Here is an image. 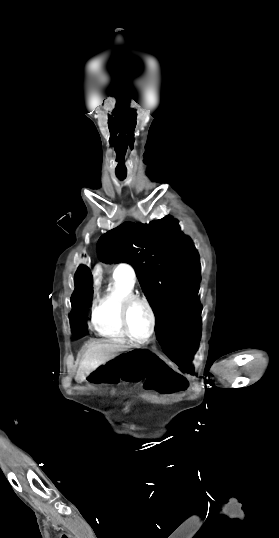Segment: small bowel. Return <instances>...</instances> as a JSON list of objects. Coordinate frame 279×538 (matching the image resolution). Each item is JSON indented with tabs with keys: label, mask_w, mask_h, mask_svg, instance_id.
Returning a JSON list of instances; mask_svg holds the SVG:
<instances>
[{
	"label": "small bowel",
	"mask_w": 279,
	"mask_h": 538,
	"mask_svg": "<svg viewBox=\"0 0 279 538\" xmlns=\"http://www.w3.org/2000/svg\"><path fill=\"white\" fill-rule=\"evenodd\" d=\"M145 390L160 395L182 393L188 388V381L172 369L156 370L144 380Z\"/></svg>",
	"instance_id": "small-bowel-1"
}]
</instances>
